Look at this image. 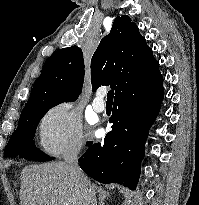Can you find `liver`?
I'll use <instances>...</instances> for the list:
<instances>
[{
    "instance_id": "obj_1",
    "label": "liver",
    "mask_w": 199,
    "mask_h": 205,
    "mask_svg": "<svg viewBox=\"0 0 199 205\" xmlns=\"http://www.w3.org/2000/svg\"><path fill=\"white\" fill-rule=\"evenodd\" d=\"M21 205H97L98 186L80 180L65 162L25 166L20 175Z\"/></svg>"
}]
</instances>
